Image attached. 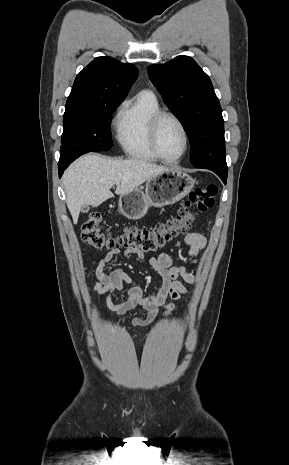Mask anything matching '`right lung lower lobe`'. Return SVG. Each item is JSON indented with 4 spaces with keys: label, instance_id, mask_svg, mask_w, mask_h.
Returning <instances> with one entry per match:
<instances>
[{
    "label": "right lung lower lobe",
    "instance_id": "98d812e1",
    "mask_svg": "<svg viewBox=\"0 0 289 465\" xmlns=\"http://www.w3.org/2000/svg\"><path fill=\"white\" fill-rule=\"evenodd\" d=\"M75 159H71V160H68V161H64V162H59L58 163V170H59V177L62 176L64 170L69 166V164L71 162H73Z\"/></svg>",
    "mask_w": 289,
    "mask_h": 465
}]
</instances>
